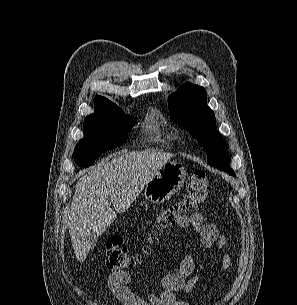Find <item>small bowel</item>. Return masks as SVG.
<instances>
[{
	"label": "small bowel",
	"instance_id": "c3829d8e",
	"mask_svg": "<svg viewBox=\"0 0 297 305\" xmlns=\"http://www.w3.org/2000/svg\"><path fill=\"white\" fill-rule=\"evenodd\" d=\"M176 226L181 229L193 228L201 244L207 249L214 247L217 252H222L227 245L226 237L219 233L213 223L205 221L199 213L179 217ZM230 264L231 256L226 253L222 260V269L227 270ZM130 283L131 276L126 271H114L108 278L110 291L123 305H189L188 302L177 299L176 294L192 293L199 283V275L195 272L192 256L185 254L173 272L161 277V292L148 290L142 296L131 290Z\"/></svg>",
	"mask_w": 297,
	"mask_h": 305
}]
</instances>
